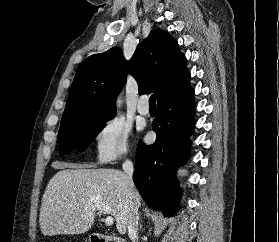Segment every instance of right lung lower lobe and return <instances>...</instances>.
Masks as SVG:
<instances>
[{
	"instance_id": "98d812e1",
	"label": "right lung lower lobe",
	"mask_w": 279,
	"mask_h": 242,
	"mask_svg": "<svg viewBox=\"0 0 279 242\" xmlns=\"http://www.w3.org/2000/svg\"><path fill=\"white\" fill-rule=\"evenodd\" d=\"M194 91L188 86L178 94L159 101L152 129L155 143L139 142L133 181L144 201L173 216L179 208V183L176 170L189 156L188 137L194 127Z\"/></svg>"
}]
</instances>
